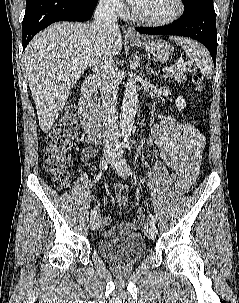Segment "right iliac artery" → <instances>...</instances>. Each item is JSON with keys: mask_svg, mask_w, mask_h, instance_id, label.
Listing matches in <instances>:
<instances>
[{"mask_svg": "<svg viewBox=\"0 0 239 303\" xmlns=\"http://www.w3.org/2000/svg\"><path fill=\"white\" fill-rule=\"evenodd\" d=\"M100 168L102 170H107V168H108V161L107 160H102L100 162ZM96 214H97V209L96 208L92 209L91 210V217H95Z\"/></svg>", "mask_w": 239, "mask_h": 303, "instance_id": "obj_1", "label": "right iliac artery"}]
</instances>
